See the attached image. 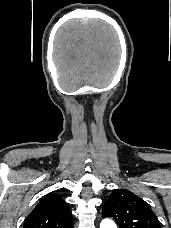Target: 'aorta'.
Returning a JSON list of instances; mask_svg holds the SVG:
<instances>
[{
  "label": "aorta",
  "mask_w": 171,
  "mask_h": 228,
  "mask_svg": "<svg viewBox=\"0 0 171 228\" xmlns=\"http://www.w3.org/2000/svg\"><path fill=\"white\" fill-rule=\"evenodd\" d=\"M100 228H117V226H116L115 222L112 221L111 219H104L100 223Z\"/></svg>",
  "instance_id": "1"
}]
</instances>
